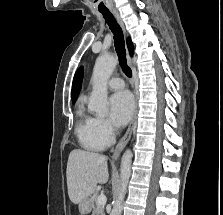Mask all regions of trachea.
<instances>
[{
    "mask_svg": "<svg viewBox=\"0 0 223 215\" xmlns=\"http://www.w3.org/2000/svg\"><path fill=\"white\" fill-rule=\"evenodd\" d=\"M104 16L106 22L109 25L113 35H114V46L116 53L118 55L119 63L122 67L123 72L127 75V77H132V71L127 65L126 54H125V45H124V35L120 25L116 22L112 13L109 12L108 9L99 10Z\"/></svg>",
    "mask_w": 223,
    "mask_h": 215,
    "instance_id": "trachea-1",
    "label": "trachea"
}]
</instances>
